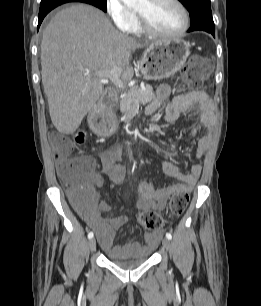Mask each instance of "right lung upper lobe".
<instances>
[{
  "mask_svg": "<svg viewBox=\"0 0 261 306\" xmlns=\"http://www.w3.org/2000/svg\"><path fill=\"white\" fill-rule=\"evenodd\" d=\"M60 2H84V0H60Z\"/></svg>",
  "mask_w": 261,
  "mask_h": 306,
  "instance_id": "obj_1",
  "label": "right lung upper lobe"
}]
</instances>
